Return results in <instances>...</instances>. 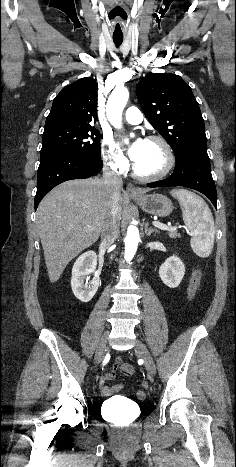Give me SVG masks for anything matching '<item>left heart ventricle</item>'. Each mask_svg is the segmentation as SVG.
I'll use <instances>...</instances> for the list:
<instances>
[{
    "label": "left heart ventricle",
    "instance_id": "left-heart-ventricle-1",
    "mask_svg": "<svg viewBox=\"0 0 236 467\" xmlns=\"http://www.w3.org/2000/svg\"><path fill=\"white\" fill-rule=\"evenodd\" d=\"M165 153L160 144L146 141L140 158L135 162L143 174L159 172L165 165Z\"/></svg>",
    "mask_w": 236,
    "mask_h": 467
}]
</instances>
